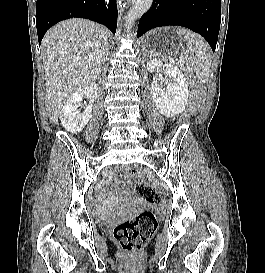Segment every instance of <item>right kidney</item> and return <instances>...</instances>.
I'll list each match as a JSON object with an SVG mask.
<instances>
[{
    "label": "right kidney",
    "instance_id": "obj_1",
    "mask_svg": "<svg viewBox=\"0 0 265 273\" xmlns=\"http://www.w3.org/2000/svg\"><path fill=\"white\" fill-rule=\"evenodd\" d=\"M98 85L90 83L77 90L69 97L60 112V120L66 131L78 133L84 129L92 116L93 103L97 97ZM89 99V104L83 112L80 111L83 97Z\"/></svg>",
    "mask_w": 265,
    "mask_h": 273
}]
</instances>
